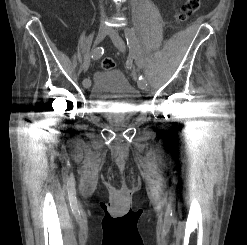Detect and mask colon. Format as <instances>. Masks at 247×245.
<instances>
[{"instance_id": "1", "label": "colon", "mask_w": 247, "mask_h": 245, "mask_svg": "<svg viewBox=\"0 0 247 245\" xmlns=\"http://www.w3.org/2000/svg\"><path fill=\"white\" fill-rule=\"evenodd\" d=\"M201 0H183L178 11L177 19L181 22L186 21L191 15L198 11ZM115 61L111 58H104L101 62V66L104 69L115 68Z\"/></svg>"}]
</instances>
